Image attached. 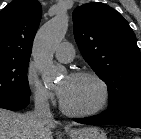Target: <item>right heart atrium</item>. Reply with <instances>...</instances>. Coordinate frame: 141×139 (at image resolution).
I'll return each instance as SVG.
<instances>
[{
  "mask_svg": "<svg viewBox=\"0 0 141 139\" xmlns=\"http://www.w3.org/2000/svg\"><path fill=\"white\" fill-rule=\"evenodd\" d=\"M25 82L32 99L37 105L49 106L54 102V93L41 82L31 65L26 69Z\"/></svg>",
  "mask_w": 141,
  "mask_h": 139,
  "instance_id": "obj_1",
  "label": "right heart atrium"
}]
</instances>
